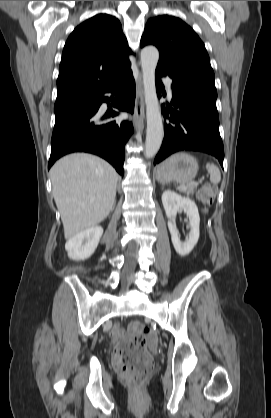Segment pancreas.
<instances>
[{"instance_id": "cf45deb5", "label": "pancreas", "mask_w": 271, "mask_h": 418, "mask_svg": "<svg viewBox=\"0 0 271 418\" xmlns=\"http://www.w3.org/2000/svg\"><path fill=\"white\" fill-rule=\"evenodd\" d=\"M197 189V185H192L190 187H187L186 189H183L182 192L186 195H193Z\"/></svg>"}]
</instances>
